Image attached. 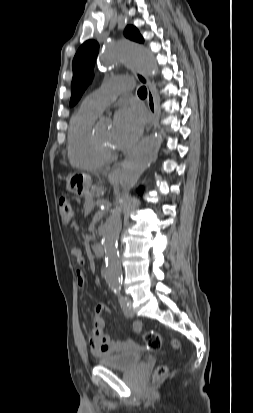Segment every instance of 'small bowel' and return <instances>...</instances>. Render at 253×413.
<instances>
[{
	"label": "small bowel",
	"mask_w": 253,
	"mask_h": 413,
	"mask_svg": "<svg viewBox=\"0 0 253 413\" xmlns=\"http://www.w3.org/2000/svg\"><path fill=\"white\" fill-rule=\"evenodd\" d=\"M72 255L78 259H81V251L77 248L72 250ZM76 279L80 287L85 285V277L82 272H77ZM104 311H107V309L103 305H97L93 319V326L86 332L87 343L91 353L95 356H106L133 347L134 343L131 339L127 338L124 340H113L105 332V321L102 316ZM141 328L142 324L140 322H136L133 325L132 332H139Z\"/></svg>",
	"instance_id": "1"
}]
</instances>
